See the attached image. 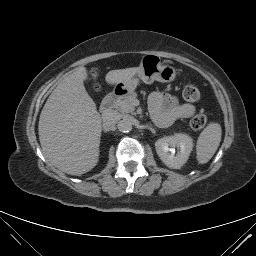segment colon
<instances>
[{
  "label": "colon",
  "instance_id": "5ec220e1",
  "mask_svg": "<svg viewBox=\"0 0 256 256\" xmlns=\"http://www.w3.org/2000/svg\"><path fill=\"white\" fill-rule=\"evenodd\" d=\"M97 88V84H94ZM182 96L184 100L189 102H197L201 97L199 89L195 86L188 85L182 91ZM209 120V115L205 113L198 114L194 116L190 121V127L194 130H200L205 127Z\"/></svg>",
  "mask_w": 256,
  "mask_h": 256
}]
</instances>
